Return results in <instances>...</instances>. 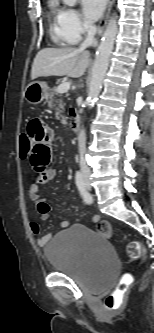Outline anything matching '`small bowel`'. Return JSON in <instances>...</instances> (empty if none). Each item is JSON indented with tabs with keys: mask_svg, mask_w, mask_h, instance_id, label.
<instances>
[{
	"mask_svg": "<svg viewBox=\"0 0 154 333\" xmlns=\"http://www.w3.org/2000/svg\"><path fill=\"white\" fill-rule=\"evenodd\" d=\"M26 134L32 142L29 156L30 164L37 173L35 181L30 185L29 197L36 202L41 219L47 221L50 217L51 207L41 197L39 188L41 185L51 181L56 175V171L52 167L53 132L44 121L35 118L29 122ZM92 220L93 222H98L100 220L99 215H94ZM60 226L66 228L69 226V222L61 221ZM30 230L37 237V244L39 246H45L52 238L51 233L41 235L40 225L35 221L30 222Z\"/></svg>",
	"mask_w": 154,
	"mask_h": 333,
	"instance_id": "1",
	"label": "small bowel"
}]
</instances>
